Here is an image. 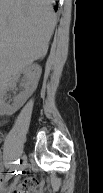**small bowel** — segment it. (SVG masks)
<instances>
[{"instance_id": "c3829d8e", "label": "small bowel", "mask_w": 103, "mask_h": 193, "mask_svg": "<svg viewBox=\"0 0 103 193\" xmlns=\"http://www.w3.org/2000/svg\"><path fill=\"white\" fill-rule=\"evenodd\" d=\"M2 167L4 168V164H2ZM9 178L10 175L2 176L0 182L3 186V190L6 191L7 189L10 193H40L43 189L42 183L34 177H29L25 179L20 185L8 189L6 188V183ZM20 189H23V191H21Z\"/></svg>"}]
</instances>
